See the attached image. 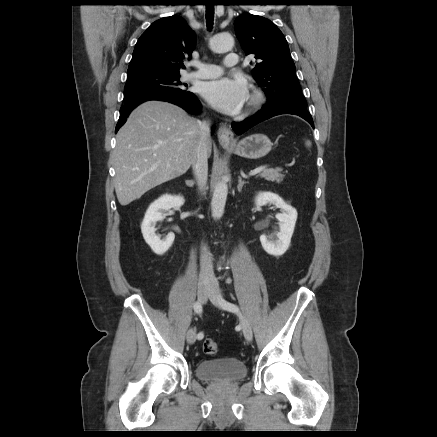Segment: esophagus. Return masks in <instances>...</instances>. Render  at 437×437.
Masks as SVG:
<instances>
[{"mask_svg": "<svg viewBox=\"0 0 437 437\" xmlns=\"http://www.w3.org/2000/svg\"><path fill=\"white\" fill-rule=\"evenodd\" d=\"M218 141L221 145L227 146L234 143V134L230 127L226 124H222L217 132Z\"/></svg>", "mask_w": 437, "mask_h": 437, "instance_id": "34e87169", "label": "esophagus"}]
</instances>
